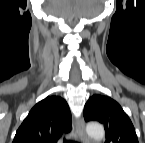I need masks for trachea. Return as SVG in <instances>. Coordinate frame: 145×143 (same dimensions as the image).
Listing matches in <instances>:
<instances>
[{
  "mask_svg": "<svg viewBox=\"0 0 145 143\" xmlns=\"http://www.w3.org/2000/svg\"><path fill=\"white\" fill-rule=\"evenodd\" d=\"M63 143H79V142H73V141L64 140Z\"/></svg>",
  "mask_w": 145,
  "mask_h": 143,
  "instance_id": "1",
  "label": "trachea"
}]
</instances>
